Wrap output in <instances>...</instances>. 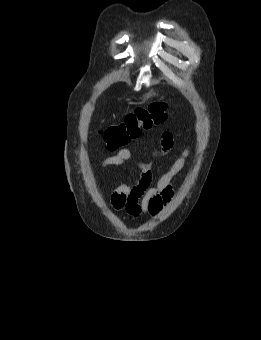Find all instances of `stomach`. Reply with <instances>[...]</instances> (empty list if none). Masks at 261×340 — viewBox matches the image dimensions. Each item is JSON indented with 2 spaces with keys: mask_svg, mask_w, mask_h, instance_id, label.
I'll return each mask as SVG.
<instances>
[{
  "mask_svg": "<svg viewBox=\"0 0 261 340\" xmlns=\"http://www.w3.org/2000/svg\"><path fill=\"white\" fill-rule=\"evenodd\" d=\"M153 96H155V93L153 91H150L146 95H143L140 99L142 101H147L148 99L152 98Z\"/></svg>",
  "mask_w": 261,
  "mask_h": 340,
  "instance_id": "1",
  "label": "stomach"
}]
</instances>
